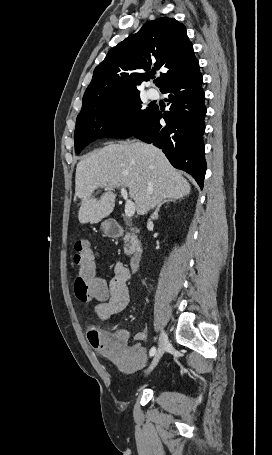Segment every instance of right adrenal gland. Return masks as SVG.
<instances>
[{
	"label": "right adrenal gland",
	"mask_w": 272,
	"mask_h": 455,
	"mask_svg": "<svg viewBox=\"0 0 272 455\" xmlns=\"http://www.w3.org/2000/svg\"><path fill=\"white\" fill-rule=\"evenodd\" d=\"M170 202H175L174 199H166V200H163L158 206L157 208L155 209L154 213L152 214L151 216V219L152 220H156L158 218V212L161 208L162 205L166 204V203H170Z\"/></svg>",
	"instance_id": "2a0ac1e0"
}]
</instances>
